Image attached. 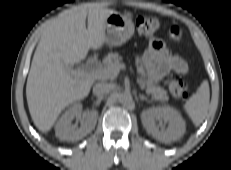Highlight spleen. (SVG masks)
Segmentation results:
<instances>
[{
	"label": "spleen",
	"mask_w": 231,
	"mask_h": 170,
	"mask_svg": "<svg viewBox=\"0 0 231 170\" xmlns=\"http://www.w3.org/2000/svg\"><path fill=\"white\" fill-rule=\"evenodd\" d=\"M210 100L208 81H203L199 90L183 106L195 126H199L205 119Z\"/></svg>",
	"instance_id": "obj_1"
}]
</instances>
